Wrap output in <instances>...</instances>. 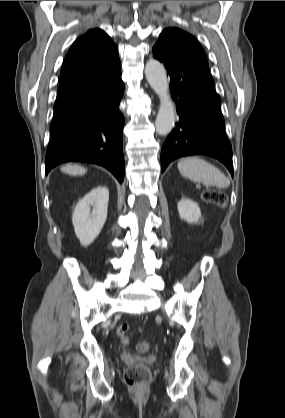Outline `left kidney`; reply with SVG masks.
Returning <instances> with one entry per match:
<instances>
[{
	"instance_id": "obj_1",
	"label": "left kidney",
	"mask_w": 285,
	"mask_h": 418,
	"mask_svg": "<svg viewBox=\"0 0 285 418\" xmlns=\"http://www.w3.org/2000/svg\"><path fill=\"white\" fill-rule=\"evenodd\" d=\"M177 207L181 219L188 223H197L201 218L200 208L193 200L182 198Z\"/></svg>"
}]
</instances>
